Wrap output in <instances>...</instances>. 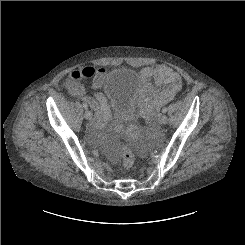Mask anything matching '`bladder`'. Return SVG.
<instances>
[{"mask_svg": "<svg viewBox=\"0 0 245 245\" xmlns=\"http://www.w3.org/2000/svg\"><path fill=\"white\" fill-rule=\"evenodd\" d=\"M108 91L114 115L122 122L136 119L140 84L132 67H116L110 77Z\"/></svg>", "mask_w": 245, "mask_h": 245, "instance_id": "31cf9c89", "label": "bladder"}]
</instances>
